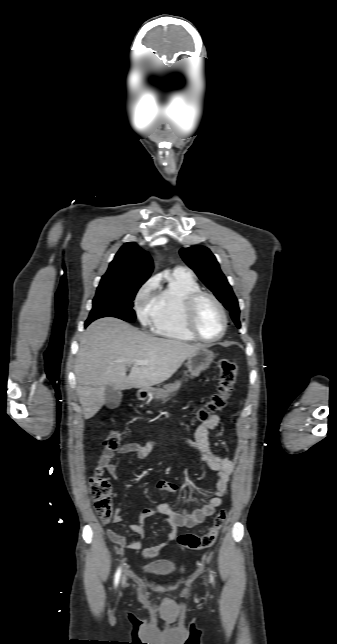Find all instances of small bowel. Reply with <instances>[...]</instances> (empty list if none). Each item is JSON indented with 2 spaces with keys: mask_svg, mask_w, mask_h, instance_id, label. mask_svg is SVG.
Instances as JSON below:
<instances>
[{
  "mask_svg": "<svg viewBox=\"0 0 337 644\" xmlns=\"http://www.w3.org/2000/svg\"><path fill=\"white\" fill-rule=\"evenodd\" d=\"M219 425V417L215 414L211 415L205 420L195 431L194 440H184L182 443L193 449L200 456L204 465L217 474L216 492L208 502L199 506L191 513L185 512L183 509L176 510L171 505L164 503L156 508H144L140 515V522L138 524H131L129 528L136 534V537L129 544V548L133 550L141 549V541L145 536L144 522L154 515L163 516L170 528L166 538L159 544L145 548L142 553L146 558L154 557L161 553L169 543L175 539L179 528H192L202 523L207 517L211 516L216 509L223 503L224 499L228 496L230 491V478L234 471L235 464L232 460L220 457L212 451L209 442V432ZM156 443L148 442L145 444H138L128 442L121 445L116 451L104 449L99 460L100 467L107 471L110 475L115 476L118 466V455H125L135 453L137 458L143 459L150 455ZM155 489L157 491H165L171 494H176L179 490L178 484L173 481L161 479L156 483ZM128 507H118L114 515V523L122 521L123 513ZM107 537L116 545L124 547L126 545L125 536L108 529Z\"/></svg>",
  "mask_w": 337,
  "mask_h": 644,
  "instance_id": "obj_1",
  "label": "small bowel"
}]
</instances>
